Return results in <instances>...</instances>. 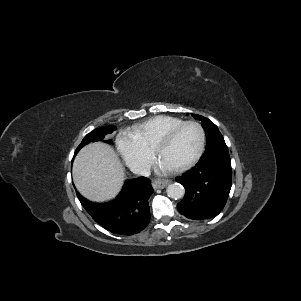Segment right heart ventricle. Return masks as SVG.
<instances>
[{"label":"right heart ventricle","mask_w":301,"mask_h":301,"mask_svg":"<svg viewBox=\"0 0 301 301\" xmlns=\"http://www.w3.org/2000/svg\"><path fill=\"white\" fill-rule=\"evenodd\" d=\"M183 121V119L174 116L158 115L135 124L128 133L146 149L151 150L159 136Z\"/></svg>","instance_id":"e07e8e85"}]
</instances>
